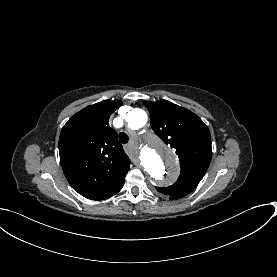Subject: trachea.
<instances>
[{"label":"trachea","mask_w":277,"mask_h":277,"mask_svg":"<svg viewBox=\"0 0 277 277\" xmlns=\"http://www.w3.org/2000/svg\"><path fill=\"white\" fill-rule=\"evenodd\" d=\"M119 140H120L123 144H126V143L128 142V140H129V137H128L127 134L121 132V133L119 134Z\"/></svg>","instance_id":"trachea-1"}]
</instances>
